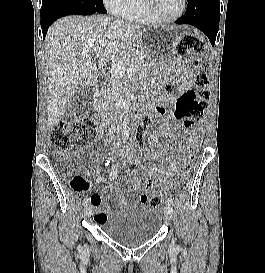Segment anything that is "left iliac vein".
Returning <instances> with one entry per match:
<instances>
[{
	"label": "left iliac vein",
	"instance_id": "left-iliac-vein-1",
	"mask_svg": "<svg viewBox=\"0 0 265 273\" xmlns=\"http://www.w3.org/2000/svg\"><path fill=\"white\" fill-rule=\"evenodd\" d=\"M164 214L166 216L167 219H172L173 217V208L170 205H166L164 208Z\"/></svg>",
	"mask_w": 265,
	"mask_h": 273
}]
</instances>
